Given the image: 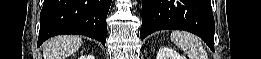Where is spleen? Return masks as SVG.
Here are the masks:
<instances>
[{"instance_id":"obj_1","label":"spleen","mask_w":261,"mask_h":59,"mask_svg":"<svg viewBox=\"0 0 261 59\" xmlns=\"http://www.w3.org/2000/svg\"><path fill=\"white\" fill-rule=\"evenodd\" d=\"M171 41L179 46L190 59H206L207 53L203 47L201 40L183 31H173L171 33Z\"/></svg>"}]
</instances>
